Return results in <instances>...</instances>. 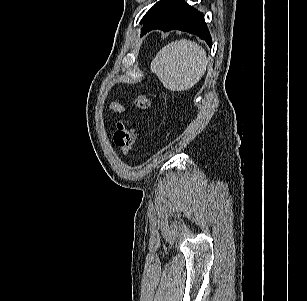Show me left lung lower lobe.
I'll list each match as a JSON object with an SVG mask.
<instances>
[{"label":"left lung lower lobe","instance_id":"0a47b994","mask_svg":"<svg viewBox=\"0 0 307 301\" xmlns=\"http://www.w3.org/2000/svg\"><path fill=\"white\" fill-rule=\"evenodd\" d=\"M152 29H160L165 32L177 29L196 34L212 47V40L202 13L191 7L184 0L178 3L158 23L148 27L142 35Z\"/></svg>","mask_w":307,"mask_h":301}]
</instances>
